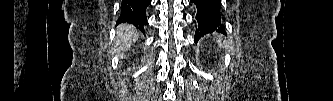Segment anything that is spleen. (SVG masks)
Here are the masks:
<instances>
[{
  "mask_svg": "<svg viewBox=\"0 0 333 101\" xmlns=\"http://www.w3.org/2000/svg\"><path fill=\"white\" fill-rule=\"evenodd\" d=\"M216 42L218 43V46L219 47H225V48H229V44L225 43V42H222V38L219 37Z\"/></svg>",
  "mask_w": 333,
  "mask_h": 101,
  "instance_id": "3e777b00",
  "label": "spleen"
}]
</instances>
